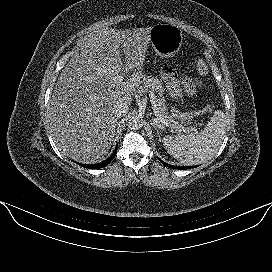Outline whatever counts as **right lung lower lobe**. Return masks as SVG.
<instances>
[{
	"mask_svg": "<svg viewBox=\"0 0 272 272\" xmlns=\"http://www.w3.org/2000/svg\"><path fill=\"white\" fill-rule=\"evenodd\" d=\"M116 153H117V148L114 150L113 154L107 160L103 162L92 164V165H83V164H79V165L86 168H90V169H99V168L107 166L115 158Z\"/></svg>",
	"mask_w": 272,
	"mask_h": 272,
	"instance_id": "98d812e1",
	"label": "right lung lower lobe"
}]
</instances>
